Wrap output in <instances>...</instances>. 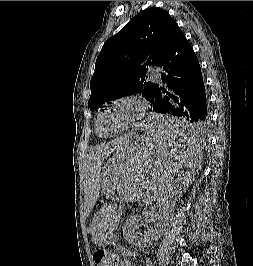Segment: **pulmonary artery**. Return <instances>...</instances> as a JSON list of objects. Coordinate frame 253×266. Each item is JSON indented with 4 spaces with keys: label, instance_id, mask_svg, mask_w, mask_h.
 <instances>
[{
    "label": "pulmonary artery",
    "instance_id": "pulmonary-artery-1",
    "mask_svg": "<svg viewBox=\"0 0 253 266\" xmlns=\"http://www.w3.org/2000/svg\"><path fill=\"white\" fill-rule=\"evenodd\" d=\"M149 77L153 79L155 82L161 81V70L158 67H152L149 70Z\"/></svg>",
    "mask_w": 253,
    "mask_h": 266
}]
</instances>
